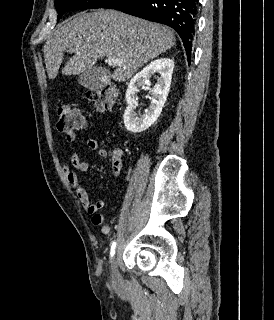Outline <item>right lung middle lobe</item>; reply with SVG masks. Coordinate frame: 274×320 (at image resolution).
I'll return each instance as SVG.
<instances>
[{
    "label": "right lung middle lobe",
    "instance_id": "1",
    "mask_svg": "<svg viewBox=\"0 0 274 320\" xmlns=\"http://www.w3.org/2000/svg\"><path fill=\"white\" fill-rule=\"evenodd\" d=\"M110 1L111 0H55V8L58 12L57 18L60 19L66 11L70 10L102 8Z\"/></svg>",
    "mask_w": 274,
    "mask_h": 320
}]
</instances>
